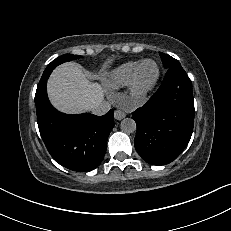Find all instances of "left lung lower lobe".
Wrapping results in <instances>:
<instances>
[{
	"label": "left lung lower lobe",
	"instance_id": "1",
	"mask_svg": "<svg viewBox=\"0 0 231 231\" xmlns=\"http://www.w3.org/2000/svg\"><path fill=\"white\" fill-rule=\"evenodd\" d=\"M192 83L181 65L167 69L161 87L132 113L137 124L134 145L149 164L175 160L188 144L194 124Z\"/></svg>",
	"mask_w": 231,
	"mask_h": 231
}]
</instances>
